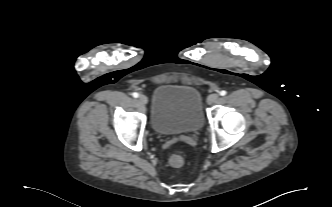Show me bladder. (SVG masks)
I'll list each match as a JSON object with an SVG mask.
<instances>
[{"label": "bladder", "instance_id": "31cf9c89", "mask_svg": "<svg viewBox=\"0 0 332 207\" xmlns=\"http://www.w3.org/2000/svg\"><path fill=\"white\" fill-rule=\"evenodd\" d=\"M204 123L202 96L187 85L162 84L153 93L151 125L159 135L190 134Z\"/></svg>", "mask_w": 332, "mask_h": 207}]
</instances>
